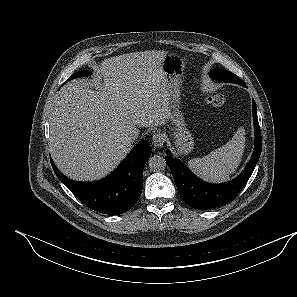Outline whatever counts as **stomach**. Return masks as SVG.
<instances>
[{
  "mask_svg": "<svg viewBox=\"0 0 297 297\" xmlns=\"http://www.w3.org/2000/svg\"><path fill=\"white\" fill-rule=\"evenodd\" d=\"M185 60L177 54H167L162 61V70L167 80L169 103L171 108V121L174 125L170 135L179 156L189 154L194 148L191 132L186 128L185 119L180 110V85L185 68Z\"/></svg>",
  "mask_w": 297,
  "mask_h": 297,
  "instance_id": "0dacf381",
  "label": "stomach"
}]
</instances>
